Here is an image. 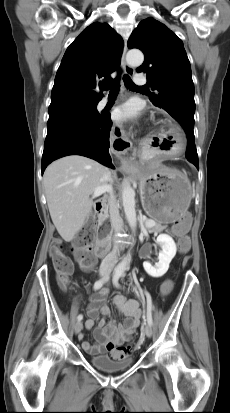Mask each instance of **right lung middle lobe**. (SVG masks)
<instances>
[{
	"label": "right lung middle lobe",
	"instance_id": "1",
	"mask_svg": "<svg viewBox=\"0 0 230 413\" xmlns=\"http://www.w3.org/2000/svg\"><path fill=\"white\" fill-rule=\"evenodd\" d=\"M97 103L90 104H63L48 109L49 119L47 125L59 120L72 118H97L99 113Z\"/></svg>",
	"mask_w": 230,
	"mask_h": 413
}]
</instances>
